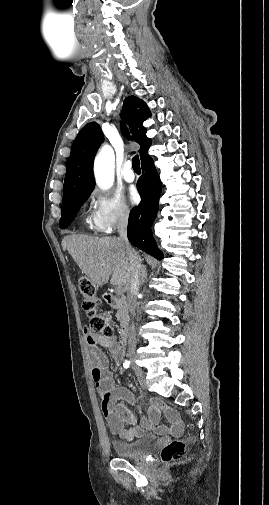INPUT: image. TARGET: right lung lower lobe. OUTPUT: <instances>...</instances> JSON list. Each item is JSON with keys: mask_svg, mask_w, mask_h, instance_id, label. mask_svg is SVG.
Segmentation results:
<instances>
[{"mask_svg": "<svg viewBox=\"0 0 269 505\" xmlns=\"http://www.w3.org/2000/svg\"><path fill=\"white\" fill-rule=\"evenodd\" d=\"M142 171L143 175L137 183L141 203L130 212L128 239L136 247L160 260L163 258V254L153 238L150 227L157 215L158 199L162 189L161 181L150 156L142 161Z\"/></svg>", "mask_w": 269, "mask_h": 505, "instance_id": "1", "label": "right lung lower lobe"}]
</instances>
